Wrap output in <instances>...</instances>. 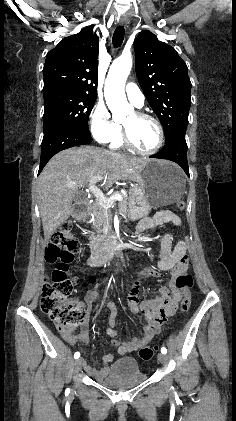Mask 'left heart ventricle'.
<instances>
[{"label": "left heart ventricle", "mask_w": 236, "mask_h": 421, "mask_svg": "<svg viewBox=\"0 0 236 421\" xmlns=\"http://www.w3.org/2000/svg\"><path fill=\"white\" fill-rule=\"evenodd\" d=\"M122 125L125 126L132 143L137 148L147 151L156 145L158 134L155 125L139 118L135 112L127 117Z\"/></svg>", "instance_id": "1"}]
</instances>
